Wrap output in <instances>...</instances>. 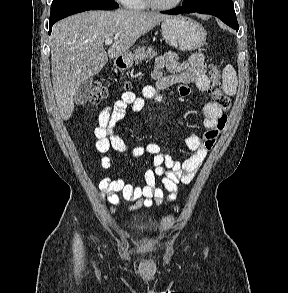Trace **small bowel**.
I'll list each match as a JSON object with an SVG mask.
<instances>
[{
	"label": "small bowel",
	"instance_id": "obj_1",
	"mask_svg": "<svg viewBox=\"0 0 288 293\" xmlns=\"http://www.w3.org/2000/svg\"><path fill=\"white\" fill-rule=\"evenodd\" d=\"M164 69H167L170 75H165ZM151 76L156 81L155 86H145L142 96H137L131 91L124 92L112 107L105 108L98 113V126L94 129L95 147L104 155L101 160L104 169H108L111 164V159L107 155L110 150L130 154L133 157H139L145 153L153 155V167L144 175L145 185L134 186L125 183L122 179L114 180L110 177H105L99 182L103 202L119 207L121 204L119 193H121L125 200L132 202L127 207L129 213H133L141 207H150L154 203L157 205L162 203L164 191L156 185L157 177L160 178L163 188L169 193L168 200H174L178 186L189 184L196 177L227 123V116L216 102L214 100L206 102L203 107V126L206 130L200 136L190 134L185 139L191 155L183 162L165 154L157 143L129 147L115 133L117 123L126 116L128 109L138 113L145 107L146 99L160 102L162 100L160 91L173 85L177 86L182 97H187L190 93L188 84H195L202 92H207L210 87L204 56L201 53H193L187 60L181 61L176 53L167 52L157 58ZM177 122L181 124L179 119Z\"/></svg>",
	"mask_w": 288,
	"mask_h": 293
}]
</instances>
